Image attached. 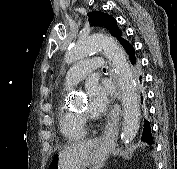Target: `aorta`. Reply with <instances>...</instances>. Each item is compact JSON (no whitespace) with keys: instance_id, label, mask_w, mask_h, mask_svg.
<instances>
[{"instance_id":"762f6f07","label":"aorta","mask_w":177,"mask_h":169,"mask_svg":"<svg viewBox=\"0 0 177 169\" xmlns=\"http://www.w3.org/2000/svg\"><path fill=\"white\" fill-rule=\"evenodd\" d=\"M99 49H102L105 56L112 62L114 72L118 77L123 106L121 140L127 145L136 137L139 130L140 109L136 83L124 50L112 37L91 35L79 40L65 53V62L74 63ZM78 100L79 97L73 98V102Z\"/></svg>"}]
</instances>
